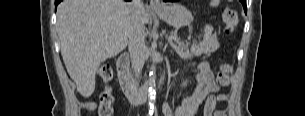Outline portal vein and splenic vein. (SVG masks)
<instances>
[{"instance_id":"portal-vein-and-splenic-vein-1","label":"portal vein and splenic vein","mask_w":305,"mask_h":116,"mask_svg":"<svg viewBox=\"0 0 305 116\" xmlns=\"http://www.w3.org/2000/svg\"><path fill=\"white\" fill-rule=\"evenodd\" d=\"M173 39H174V38L171 37V36L168 38V40H169L170 42H172Z\"/></svg>"}]
</instances>
